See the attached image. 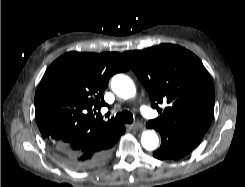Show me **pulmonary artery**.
Segmentation results:
<instances>
[{"mask_svg":"<svg viewBox=\"0 0 245 187\" xmlns=\"http://www.w3.org/2000/svg\"><path fill=\"white\" fill-rule=\"evenodd\" d=\"M141 114L147 118H154L155 117V112L148 108L147 106H142L141 109Z\"/></svg>","mask_w":245,"mask_h":187,"instance_id":"obj_1","label":"pulmonary artery"}]
</instances>
